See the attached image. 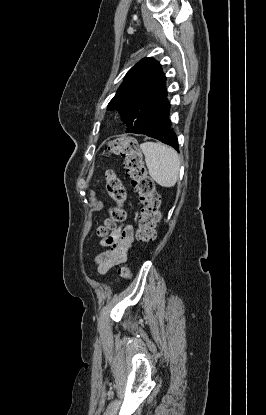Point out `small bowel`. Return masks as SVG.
I'll return each instance as SVG.
<instances>
[{
    "instance_id": "1",
    "label": "small bowel",
    "mask_w": 266,
    "mask_h": 415,
    "mask_svg": "<svg viewBox=\"0 0 266 415\" xmlns=\"http://www.w3.org/2000/svg\"><path fill=\"white\" fill-rule=\"evenodd\" d=\"M134 241V229L130 224H123L112 230L100 245L106 249L95 259L99 274H106L110 269L127 260Z\"/></svg>"
}]
</instances>
